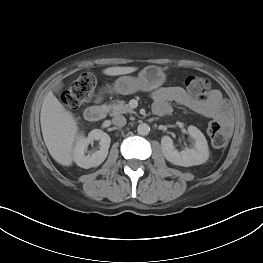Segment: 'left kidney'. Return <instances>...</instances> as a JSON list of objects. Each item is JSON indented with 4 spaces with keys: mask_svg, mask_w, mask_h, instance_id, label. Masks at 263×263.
<instances>
[{
    "mask_svg": "<svg viewBox=\"0 0 263 263\" xmlns=\"http://www.w3.org/2000/svg\"><path fill=\"white\" fill-rule=\"evenodd\" d=\"M189 135L194 139V147L178 151L173 140L169 136L161 139L162 152L164 157L174 165L189 167L204 163L209 156L208 144L203 133L195 126L188 127Z\"/></svg>",
    "mask_w": 263,
    "mask_h": 263,
    "instance_id": "obj_1",
    "label": "left kidney"
}]
</instances>
